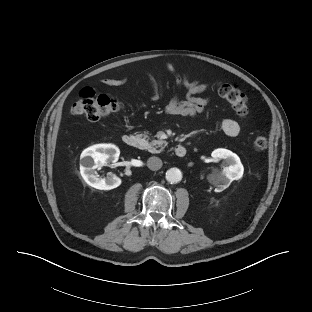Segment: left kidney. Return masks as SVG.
Instances as JSON below:
<instances>
[{
    "label": "left kidney",
    "mask_w": 312,
    "mask_h": 312,
    "mask_svg": "<svg viewBox=\"0 0 312 312\" xmlns=\"http://www.w3.org/2000/svg\"><path fill=\"white\" fill-rule=\"evenodd\" d=\"M211 156L213 160H224V169L219 172L214 170L211 175V181L217 186L216 191L220 192L226 189L233 180H238L243 176L244 167L237 154L230 150L218 148L215 149Z\"/></svg>",
    "instance_id": "1"
}]
</instances>
